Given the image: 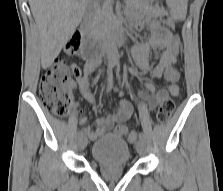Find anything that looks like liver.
<instances>
[{
	"mask_svg": "<svg viewBox=\"0 0 223 191\" xmlns=\"http://www.w3.org/2000/svg\"><path fill=\"white\" fill-rule=\"evenodd\" d=\"M88 0H29L40 33L41 65L49 67L80 23Z\"/></svg>",
	"mask_w": 223,
	"mask_h": 191,
	"instance_id": "6515ba94",
	"label": "liver"
}]
</instances>
